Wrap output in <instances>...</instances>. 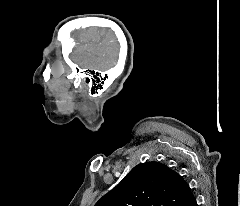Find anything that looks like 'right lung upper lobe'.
<instances>
[{"instance_id":"cb5924a9","label":"right lung upper lobe","mask_w":240,"mask_h":206,"mask_svg":"<svg viewBox=\"0 0 240 206\" xmlns=\"http://www.w3.org/2000/svg\"><path fill=\"white\" fill-rule=\"evenodd\" d=\"M193 198L182 176L153 161L134 167L94 206H183Z\"/></svg>"}]
</instances>
